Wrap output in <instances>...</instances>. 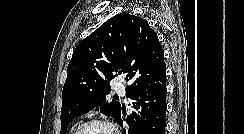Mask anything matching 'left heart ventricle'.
<instances>
[{"label": "left heart ventricle", "instance_id": "left-heart-ventricle-1", "mask_svg": "<svg viewBox=\"0 0 244 134\" xmlns=\"http://www.w3.org/2000/svg\"><path fill=\"white\" fill-rule=\"evenodd\" d=\"M80 134H111V133L105 127L93 125L82 130Z\"/></svg>", "mask_w": 244, "mask_h": 134}]
</instances>
